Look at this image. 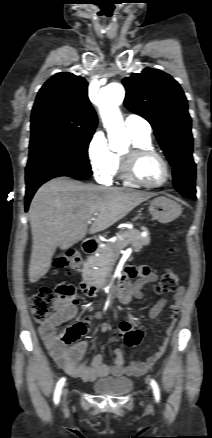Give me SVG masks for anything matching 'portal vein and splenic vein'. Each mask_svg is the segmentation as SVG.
<instances>
[{
    "label": "portal vein and splenic vein",
    "instance_id": "obj_1",
    "mask_svg": "<svg viewBox=\"0 0 212 438\" xmlns=\"http://www.w3.org/2000/svg\"><path fill=\"white\" fill-rule=\"evenodd\" d=\"M95 218L94 217H92L90 220H94Z\"/></svg>",
    "mask_w": 212,
    "mask_h": 438
}]
</instances>
